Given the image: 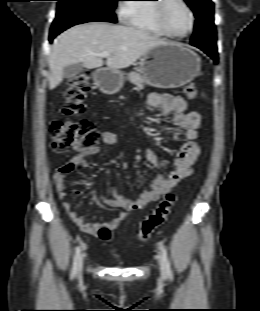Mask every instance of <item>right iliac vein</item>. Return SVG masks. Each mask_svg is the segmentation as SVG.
Instances as JSON below:
<instances>
[{"mask_svg": "<svg viewBox=\"0 0 260 311\" xmlns=\"http://www.w3.org/2000/svg\"><path fill=\"white\" fill-rule=\"evenodd\" d=\"M83 263H84V256L82 255V256L79 258V261H78V267H77V273H78V274H81V272H82Z\"/></svg>", "mask_w": 260, "mask_h": 311, "instance_id": "obj_1", "label": "right iliac vein"}]
</instances>
